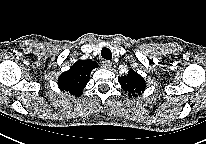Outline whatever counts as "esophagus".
I'll list each match as a JSON object with an SVG mask.
<instances>
[{"instance_id":"34e87169","label":"esophagus","mask_w":206,"mask_h":144,"mask_svg":"<svg viewBox=\"0 0 206 144\" xmlns=\"http://www.w3.org/2000/svg\"><path fill=\"white\" fill-rule=\"evenodd\" d=\"M103 66L107 69H110L111 66H112V62L108 61V60H105V61H103Z\"/></svg>"}]
</instances>
